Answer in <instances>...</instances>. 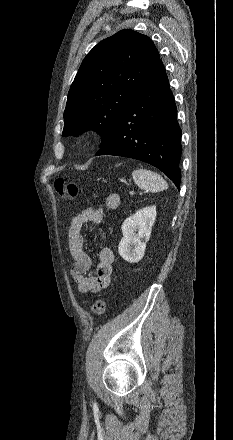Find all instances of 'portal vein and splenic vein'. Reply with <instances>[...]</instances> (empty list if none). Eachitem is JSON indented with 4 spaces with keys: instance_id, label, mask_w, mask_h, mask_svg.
<instances>
[{
    "instance_id": "portal-vein-and-splenic-vein-1",
    "label": "portal vein and splenic vein",
    "mask_w": 233,
    "mask_h": 440,
    "mask_svg": "<svg viewBox=\"0 0 233 440\" xmlns=\"http://www.w3.org/2000/svg\"><path fill=\"white\" fill-rule=\"evenodd\" d=\"M143 193H146V192L145 191H140V194H143ZM130 194L133 195L134 191H131Z\"/></svg>"
}]
</instances>
